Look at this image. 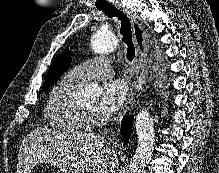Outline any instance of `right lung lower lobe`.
<instances>
[{"label":"right lung lower lobe","instance_id":"right-lung-lower-lobe-1","mask_svg":"<svg viewBox=\"0 0 219 173\" xmlns=\"http://www.w3.org/2000/svg\"><path fill=\"white\" fill-rule=\"evenodd\" d=\"M133 117L132 116H128L125 117L122 121V127H121V132H122V136H123V141L126 143L128 141V137L130 136V131L132 129V125H133Z\"/></svg>","mask_w":219,"mask_h":173}]
</instances>
